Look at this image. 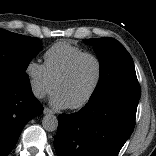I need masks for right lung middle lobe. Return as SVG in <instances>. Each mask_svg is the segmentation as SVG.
Returning a JSON list of instances; mask_svg holds the SVG:
<instances>
[{
    "mask_svg": "<svg viewBox=\"0 0 156 156\" xmlns=\"http://www.w3.org/2000/svg\"><path fill=\"white\" fill-rule=\"evenodd\" d=\"M41 44L38 38L0 29V78L29 83L25 71L41 50Z\"/></svg>",
    "mask_w": 156,
    "mask_h": 156,
    "instance_id": "dd1d6c3e",
    "label": "right lung middle lobe"
}]
</instances>
